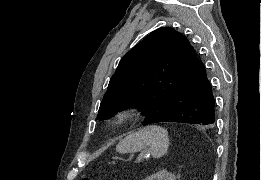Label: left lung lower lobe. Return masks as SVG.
I'll list each match as a JSON object with an SVG mask.
<instances>
[{
    "mask_svg": "<svg viewBox=\"0 0 261 180\" xmlns=\"http://www.w3.org/2000/svg\"><path fill=\"white\" fill-rule=\"evenodd\" d=\"M215 107V98L205 66L198 59L179 84L165 111L153 123L183 122L213 127Z\"/></svg>",
    "mask_w": 261,
    "mask_h": 180,
    "instance_id": "1",
    "label": "left lung lower lobe"
}]
</instances>
